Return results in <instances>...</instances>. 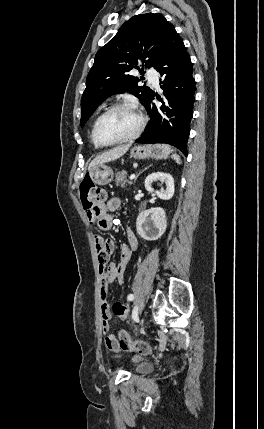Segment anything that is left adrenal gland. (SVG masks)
Returning a JSON list of instances; mask_svg holds the SVG:
<instances>
[{
    "mask_svg": "<svg viewBox=\"0 0 264 429\" xmlns=\"http://www.w3.org/2000/svg\"><path fill=\"white\" fill-rule=\"evenodd\" d=\"M152 165H149L148 167H146V168H144V170H142L139 174H138V176L142 173V172H144L145 170H147L149 167H151ZM137 176V177H138Z\"/></svg>",
    "mask_w": 264,
    "mask_h": 429,
    "instance_id": "left-adrenal-gland-1",
    "label": "left adrenal gland"
}]
</instances>
